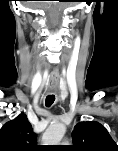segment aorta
<instances>
[{"instance_id":"obj_1","label":"aorta","mask_w":118,"mask_h":151,"mask_svg":"<svg viewBox=\"0 0 118 151\" xmlns=\"http://www.w3.org/2000/svg\"><path fill=\"white\" fill-rule=\"evenodd\" d=\"M66 132V127L62 123L51 124L43 133L42 141L44 145H58Z\"/></svg>"}]
</instances>
